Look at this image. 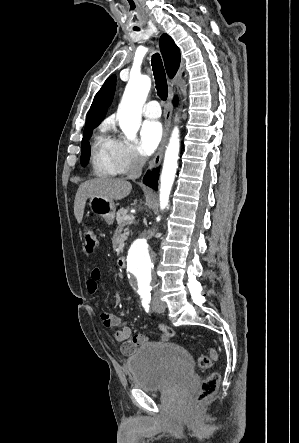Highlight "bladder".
Here are the masks:
<instances>
[{"mask_svg":"<svg viewBox=\"0 0 299 443\" xmlns=\"http://www.w3.org/2000/svg\"><path fill=\"white\" fill-rule=\"evenodd\" d=\"M132 382L145 391L163 390L192 376L190 353L175 343H155L138 349L127 361Z\"/></svg>","mask_w":299,"mask_h":443,"instance_id":"31cf9c89","label":"bladder"}]
</instances>
